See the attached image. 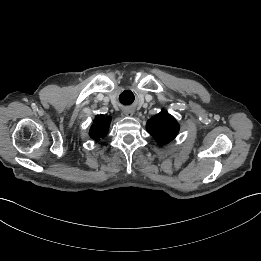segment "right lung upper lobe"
<instances>
[{
    "instance_id": "cb5924a9",
    "label": "right lung upper lobe",
    "mask_w": 261,
    "mask_h": 261,
    "mask_svg": "<svg viewBox=\"0 0 261 261\" xmlns=\"http://www.w3.org/2000/svg\"><path fill=\"white\" fill-rule=\"evenodd\" d=\"M110 118L103 119L102 116H98L94 121V125H92L90 130V136L93 139H100V137H104L107 133L108 126H109Z\"/></svg>"
}]
</instances>
